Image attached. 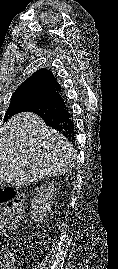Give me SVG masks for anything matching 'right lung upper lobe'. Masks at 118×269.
Returning <instances> with one entry per match:
<instances>
[{"instance_id": "1", "label": "right lung upper lobe", "mask_w": 118, "mask_h": 269, "mask_svg": "<svg viewBox=\"0 0 118 269\" xmlns=\"http://www.w3.org/2000/svg\"><path fill=\"white\" fill-rule=\"evenodd\" d=\"M62 88L53 73L41 68L28 77L13 93L24 103L25 109L61 92ZM24 109V110H25Z\"/></svg>"}]
</instances>
